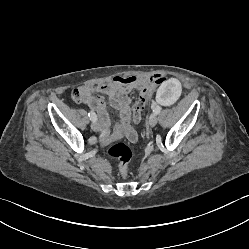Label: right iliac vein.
<instances>
[{
    "mask_svg": "<svg viewBox=\"0 0 249 249\" xmlns=\"http://www.w3.org/2000/svg\"><path fill=\"white\" fill-rule=\"evenodd\" d=\"M91 128H92L93 131L97 132L99 130V124L96 121H93L91 123Z\"/></svg>",
    "mask_w": 249,
    "mask_h": 249,
    "instance_id": "63e3f726",
    "label": "right iliac vein"
}]
</instances>
